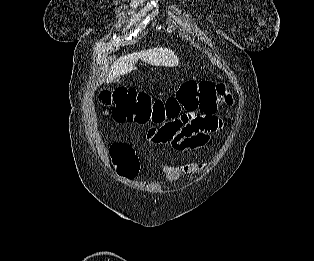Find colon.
Returning a JSON list of instances; mask_svg holds the SVG:
<instances>
[{
  "label": "colon",
  "mask_w": 314,
  "mask_h": 261,
  "mask_svg": "<svg viewBox=\"0 0 314 261\" xmlns=\"http://www.w3.org/2000/svg\"><path fill=\"white\" fill-rule=\"evenodd\" d=\"M99 99L105 107L111 108V116L117 122L160 126L164 120H174V116L187 110L191 113L193 109L214 111L219 103L228 102L229 97L221 82L187 80L166 99L154 98L147 92L126 87L104 90ZM111 152L122 176L133 178L138 173V160L129 145L115 144Z\"/></svg>",
  "instance_id": "5ec220e1"
}]
</instances>
